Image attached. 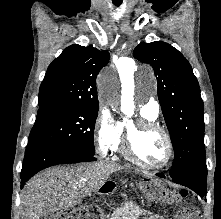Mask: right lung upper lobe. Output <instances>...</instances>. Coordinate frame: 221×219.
I'll return each mask as SVG.
<instances>
[{"label": "right lung upper lobe", "instance_id": "cb5924a9", "mask_svg": "<svg viewBox=\"0 0 221 219\" xmlns=\"http://www.w3.org/2000/svg\"><path fill=\"white\" fill-rule=\"evenodd\" d=\"M107 51L73 44L48 67L39 89V104L64 102L99 105L96 78L109 61Z\"/></svg>", "mask_w": 221, "mask_h": 219}]
</instances>
